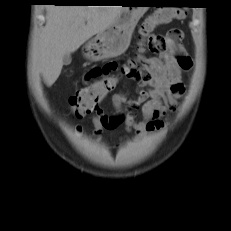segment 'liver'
I'll use <instances>...</instances> for the list:
<instances>
[{"label": "liver", "mask_w": 231, "mask_h": 231, "mask_svg": "<svg viewBox=\"0 0 231 231\" xmlns=\"http://www.w3.org/2000/svg\"><path fill=\"white\" fill-rule=\"evenodd\" d=\"M122 9V6L84 5L47 8V22L36 51L37 65L47 86L58 79L64 55L75 52L92 36L104 31Z\"/></svg>", "instance_id": "1"}]
</instances>
